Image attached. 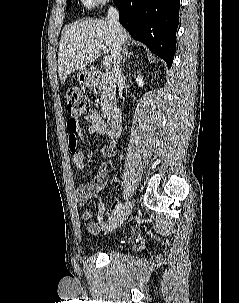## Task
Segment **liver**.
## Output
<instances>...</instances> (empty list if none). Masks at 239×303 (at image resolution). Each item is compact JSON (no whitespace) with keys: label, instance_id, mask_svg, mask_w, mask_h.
Returning <instances> with one entry per match:
<instances>
[{"label":"liver","instance_id":"1","mask_svg":"<svg viewBox=\"0 0 239 303\" xmlns=\"http://www.w3.org/2000/svg\"><path fill=\"white\" fill-rule=\"evenodd\" d=\"M128 41V34L123 29L118 35L113 24L106 20L89 19L77 22L64 29L59 45L58 72L61 83L67 76L76 70L84 69L96 60L104 45L110 53L111 62L114 64L115 53L119 46Z\"/></svg>","mask_w":239,"mask_h":303}]
</instances>
